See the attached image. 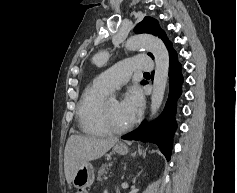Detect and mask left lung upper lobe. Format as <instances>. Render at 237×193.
Here are the masks:
<instances>
[{
	"instance_id": "left-lung-upper-lobe-1",
	"label": "left lung upper lobe",
	"mask_w": 237,
	"mask_h": 193,
	"mask_svg": "<svg viewBox=\"0 0 237 193\" xmlns=\"http://www.w3.org/2000/svg\"><path fill=\"white\" fill-rule=\"evenodd\" d=\"M135 32L140 34V33H149L153 34L155 36H158L163 40L165 43L166 47L168 48L170 46V42L166 37V34L164 31L160 28L158 22L156 19L152 17H145L136 27H135ZM149 56L153 58V55L151 53H148ZM145 82L142 81V84Z\"/></svg>"
}]
</instances>
